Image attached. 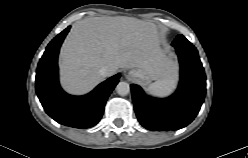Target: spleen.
<instances>
[{
	"label": "spleen",
	"mask_w": 248,
	"mask_h": 158,
	"mask_svg": "<svg viewBox=\"0 0 248 158\" xmlns=\"http://www.w3.org/2000/svg\"><path fill=\"white\" fill-rule=\"evenodd\" d=\"M177 84V74L171 73L161 78L154 83L150 84L147 91L152 96L165 97L169 95L175 88Z\"/></svg>",
	"instance_id": "1"
}]
</instances>
